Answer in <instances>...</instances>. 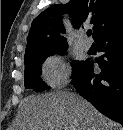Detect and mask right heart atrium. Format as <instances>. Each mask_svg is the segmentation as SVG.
I'll return each mask as SVG.
<instances>
[{"instance_id":"1","label":"right heart atrium","mask_w":123,"mask_h":130,"mask_svg":"<svg viewBox=\"0 0 123 130\" xmlns=\"http://www.w3.org/2000/svg\"><path fill=\"white\" fill-rule=\"evenodd\" d=\"M43 76L50 86L63 85L69 76V70L63 58L59 56L48 58L43 64Z\"/></svg>"}]
</instances>
